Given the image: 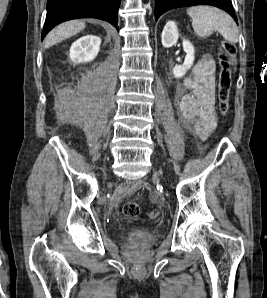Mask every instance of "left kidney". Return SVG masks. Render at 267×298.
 Segmentation results:
<instances>
[{"instance_id":"1","label":"left kidney","mask_w":267,"mask_h":298,"mask_svg":"<svg viewBox=\"0 0 267 298\" xmlns=\"http://www.w3.org/2000/svg\"><path fill=\"white\" fill-rule=\"evenodd\" d=\"M179 38L178 29L176 23L169 21L162 31L161 39L162 45L166 48L172 47L176 44ZM183 50L186 53V57L183 65L175 66L173 68V75L175 78H182L186 75L187 71L192 67L194 63L195 49L190 41L183 39Z\"/></svg>"}]
</instances>
